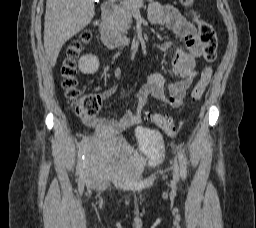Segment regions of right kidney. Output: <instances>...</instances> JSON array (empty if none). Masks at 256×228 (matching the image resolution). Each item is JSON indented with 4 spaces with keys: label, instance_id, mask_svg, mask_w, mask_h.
Listing matches in <instances>:
<instances>
[{
    "label": "right kidney",
    "instance_id": "ca27d5eb",
    "mask_svg": "<svg viewBox=\"0 0 256 228\" xmlns=\"http://www.w3.org/2000/svg\"><path fill=\"white\" fill-rule=\"evenodd\" d=\"M78 67L83 74H94L99 69V60L94 55H84L79 59Z\"/></svg>",
    "mask_w": 256,
    "mask_h": 228
}]
</instances>
